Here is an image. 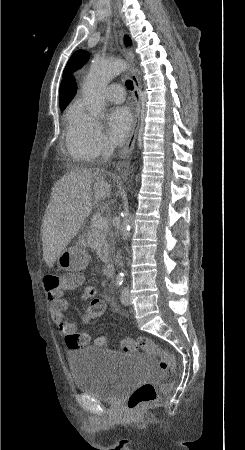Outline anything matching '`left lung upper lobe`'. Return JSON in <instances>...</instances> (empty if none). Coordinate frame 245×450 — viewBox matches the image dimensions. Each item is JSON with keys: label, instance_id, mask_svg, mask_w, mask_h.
I'll use <instances>...</instances> for the list:
<instances>
[{"label": "left lung upper lobe", "instance_id": "1", "mask_svg": "<svg viewBox=\"0 0 245 450\" xmlns=\"http://www.w3.org/2000/svg\"><path fill=\"white\" fill-rule=\"evenodd\" d=\"M125 42L127 44H130V38L128 36H125ZM89 59V53L83 50H79L77 52H75L71 58L69 59L65 69H64V73L63 75L65 76L68 73H72L75 70L79 69L80 67H82Z\"/></svg>", "mask_w": 245, "mask_h": 450}]
</instances>
